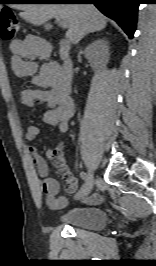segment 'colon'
Instances as JSON below:
<instances>
[{"label":"colon","mask_w":156,"mask_h":266,"mask_svg":"<svg viewBox=\"0 0 156 266\" xmlns=\"http://www.w3.org/2000/svg\"><path fill=\"white\" fill-rule=\"evenodd\" d=\"M19 30L16 15L10 9H3L0 13V35L3 40H12Z\"/></svg>","instance_id":"1"}]
</instances>
